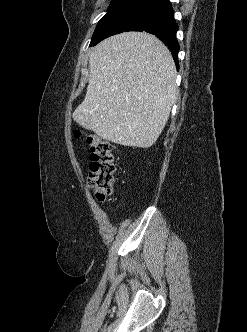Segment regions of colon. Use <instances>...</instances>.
<instances>
[{
    "instance_id": "5ec220e1",
    "label": "colon",
    "mask_w": 247,
    "mask_h": 332,
    "mask_svg": "<svg viewBox=\"0 0 247 332\" xmlns=\"http://www.w3.org/2000/svg\"><path fill=\"white\" fill-rule=\"evenodd\" d=\"M80 134L76 132V135ZM86 140L91 151L88 182L96 198L103 202L114 189L117 173L115 154L112 145L96 134H87Z\"/></svg>"
}]
</instances>
